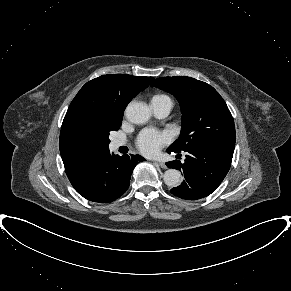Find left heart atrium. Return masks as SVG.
<instances>
[{
    "label": "left heart atrium",
    "mask_w": 291,
    "mask_h": 291,
    "mask_svg": "<svg viewBox=\"0 0 291 291\" xmlns=\"http://www.w3.org/2000/svg\"><path fill=\"white\" fill-rule=\"evenodd\" d=\"M170 141V135L166 132L145 129L137 138V147L145 155H155Z\"/></svg>",
    "instance_id": "obj_1"
}]
</instances>
